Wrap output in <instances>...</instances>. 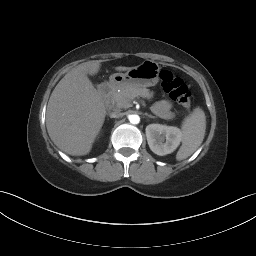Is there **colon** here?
<instances>
[{"mask_svg": "<svg viewBox=\"0 0 256 256\" xmlns=\"http://www.w3.org/2000/svg\"><path fill=\"white\" fill-rule=\"evenodd\" d=\"M162 89L171 99L184 108H189L192 103V96L185 82L168 69L160 72Z\"/></svg>", "mask_w": 256, "mask_h": 256, "instance_id": "obj_1", "label": "colon"}]
</instances>
